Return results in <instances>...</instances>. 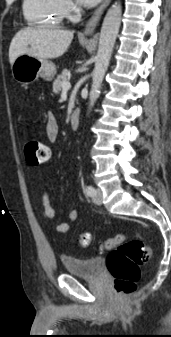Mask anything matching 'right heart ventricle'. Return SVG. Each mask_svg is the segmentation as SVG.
<instances>
[{
  "mask_svg": "<svg viewBox=\"0 0 171 337\" xmlns=\"http://www.w3.org/2000/svg\"><path fill=\"white\" fill-rule=\"evenodd\" d=\"M22 8L26 21L34 26H58L65 17L61 0H23Z\"/></svg>",
  "mask_w": 171,
  "mask_h": 337,
  "instance_id": "1",
  "label": "right heart ventricle"
}]
</instances>
